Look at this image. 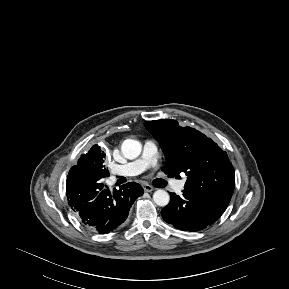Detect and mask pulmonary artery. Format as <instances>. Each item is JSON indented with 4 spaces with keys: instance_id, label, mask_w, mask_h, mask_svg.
Segmentation results:
<instances>
[{
    "instance_id": "e3ab8cb5",
    "label": "pulmonary artery",
    "mask_w": 289,
    "mask_h": 289,
    "mask_svg": "<svg viewBox=\"0 0 289 289\" xmlns=\"http://www.w3.org/2000/svg\"><path fill=\"white\" fill-rule=\"evenodd\" d=\"M158 146L155 141L147 140L143 145V151L139 158L122 165H114L111 171L116 176H135L145 171L157 161ZM184 188L183 182H177L174 185L176 191Z\"/></svg>"
}]
</instances>
